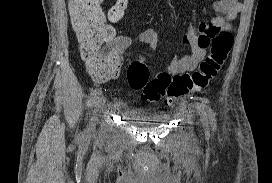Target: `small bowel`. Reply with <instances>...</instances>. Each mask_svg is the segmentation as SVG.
<instances>
[{
    "instance_id": "c3829d8e",
    "label": "small bowel",
    "mask_w": 272,
    "mask_h": 183,
    "mask_svg": "<svg viewBox=\"0 0 272 183\" xmlns=\"http://www.w3.org/2000/svg\"><path fill=\"white\" fill-rule=\"evenodd\" d=\"M243 3L239 0H217L213 3V10L216 15L209 21L202 22L198 28L190 24L183 37L184 42L189 45L191 53L180 59H174L168 66L171 75H178L184 72L194 70L201 63L206 55V48L212 34H219L220 30H228L231 22L242 11ZM113 36L112 45L119 56V64L110 70L104 79L94 78L98 82H104L114 78L120 68L121 54L135 43L148 45L155 49L158 45L157 32L152 28H147L136 35H116L114 29L110 26Z\"/></svg>"
}]
</instances>
